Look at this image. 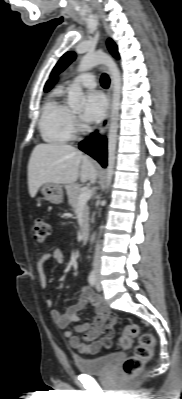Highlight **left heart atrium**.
I'll list each match as a JSON object with an SVG mask.
<instances>
[{
	"label": "left heart atrium",
	"instance_id": "39dd6f15",
	"mask_svg": "<svg viewBox=\"0 0 182 399\" xmlns=\"http://www.w3.org/2000/svg\"><path fill=\"white\" fill-rule=\"evenodd\" d=\"M106 106V99L102 93L98 91L88 93L82 113V120L86 123L100 121L105 114Z\"/></svg>",
	"mask_w": 182,
	"mask_h": 399
}]
</instances>
